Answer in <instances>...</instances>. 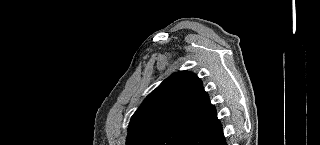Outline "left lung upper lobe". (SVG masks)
<instances>
[{"label": "left lung upper lobe", "instance_id": "obj_1", "mask_svg": "<svg viewBox=\"0 0 320 145\" xmlns=\"http://www.w3.org/2000/svg\"><path fill=\"white\" fill-rule=\"evenodd\" d=\"M214 110L194 73H173L133 114L126 145H178L186 134L207 121Z\"/></svg>", "mask_w": 320, "mask_h": 145}]
</instances>
